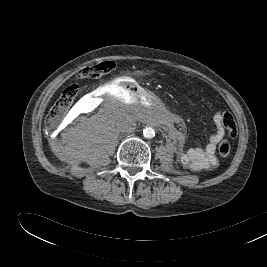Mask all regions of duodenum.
I'll return each mask as SVG.
<instances>
[{"mask_svg":"<svg viewBox=\"0 0 267 267\" xmlns=\"http://www.w3.org/2000/svg\"><path fill=\"white\" fill-rule=\"evenodd\" d=\"M113 90L115 92H127L129 94L139 95L149 99L152 103H158L160 101V96L154 90L140 85H134L126 82L115 83L113 85Z\"/></svg>","mask_w":267,"mask_h":267,"instance_id":"1","label":"duodenum"}]
</instances>
